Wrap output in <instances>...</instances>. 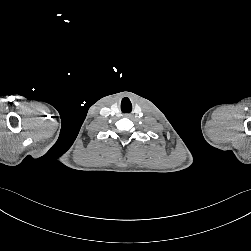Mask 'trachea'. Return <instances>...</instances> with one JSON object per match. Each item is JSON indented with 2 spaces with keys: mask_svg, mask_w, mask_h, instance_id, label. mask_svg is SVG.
Here are the masks:
<instances>
[{
  "mask_svg": "<svg viewBox=\"0 0 251 251\" xmlns=\"http://www.w3.org/2000/svg\"><path fill=\"white\" fill-rule=\"evenodd\" d=\"M121 110L123 113H130L132 110V106H128L126 108L121 106Z\"/></svg>",
  "mask_w": 251,
  "mask_h": 251,
  "instance_id": "3493384b",
  "label": "trachea"
}]
</instances>
